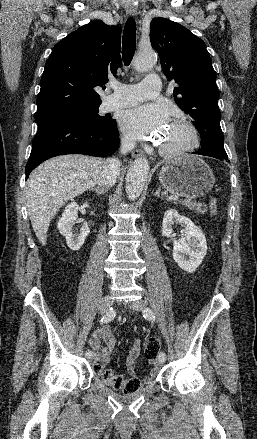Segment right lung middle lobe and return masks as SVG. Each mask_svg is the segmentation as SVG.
Masks as SVG:
<instances>
[{
  "label": "right lung middle lobe",
  "mask_w": 257,
  "mask_h": 439,
  "mask_svg": "<svg viewBox=\"0 0 257 439\" xmlns=\"http://www.w3.org/2000/svg\"><path fill=\"white\" fill-rule=\"evenodd\" d=\"M98 112H99V106L76 110L61 116L76 117L89 121L94 124H108L111 122V118L102 117L98 114Z\"/></svg>",
  "instance_id": "right-lung-middle-lobe-1"
}]
</instances>
